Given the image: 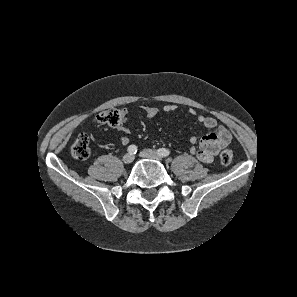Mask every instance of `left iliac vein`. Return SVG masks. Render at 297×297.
<instances>
[{
    "instance_id": "4c4485c4",
    "label": "left iliac vein",
    "mask_w": 297,
    "mask_h": 297,
    "mask_svg": "<svg viewBox=\"0 0 297 297\" xmlns=\"http://www.w3.org/2000/svg\"><path fill=\"white\" fill-rule=\"evenodd\" d=\"M142 158H150L155 160H162V156H160L156 151L151 149H144L139 154Z\"/></svg>"
}]
</instances>
